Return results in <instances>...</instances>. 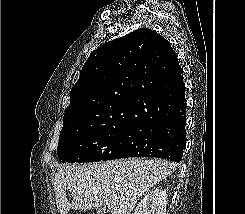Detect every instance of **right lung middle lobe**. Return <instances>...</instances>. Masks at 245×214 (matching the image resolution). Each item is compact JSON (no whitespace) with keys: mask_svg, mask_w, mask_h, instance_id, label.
<instances>
[{"mask_svg":"<svg viewBox=\"0 0 245 214\" xmlns=\"http://www.w3.org/2000/svg\"><path fill=\"white\" fill-rule=\"evenodd\" d=\"M130 127L128 119L93 127L63 119L57 147L59 160L86 163L116 159Z\"/></svg>","mask_w":245,"mask_h":214,"instance_id":"1","label":"right lung middle lobe"}]
</instances>
